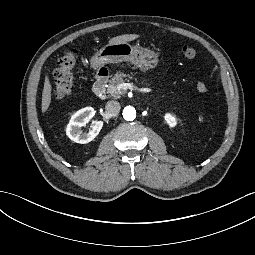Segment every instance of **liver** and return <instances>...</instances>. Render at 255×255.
I'll return each mask as SVG.
<instances>
[{
  "mask_svg": "<svg viewBox=\"0 0 255 255\" xmlns=\"http://www.w3.org/2000/svg\"><path fill=\"white\" fill-rule=\"evenodd\" d=\"M139 35L137 34H125V35H120L117 37H114L109 40V44H115V43H121V42H128L135 40L138 38ZM51 85L49 82L48 77H45V82H44V88L42 92V112H46L50 102H51Z\"/></svg>",
  "mask_w": 255,
  "mask_h": 255,
  "instance_id": "liver-1",
  "label": "liver"
}]
</instances>
